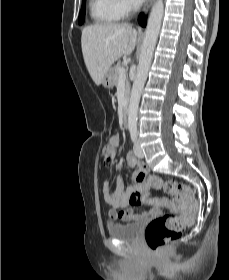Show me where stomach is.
<instances>
[{
  "label": "stomach",
  "mask_w": 229,
  "mask_h": 280,
  "mask_svg": "<svg viewBox=\"0 0 229 280\" xmlns=\"http://www.w3.org/2000/svg\"><path fill=\"white\" fill-rule=\"evenodd\" d=\"M103 87L107 89H112L114 86V71L113 69H109L103 77L102 80Z\"/></svg>",
  "instance_id": "1"
}]
</instances>
